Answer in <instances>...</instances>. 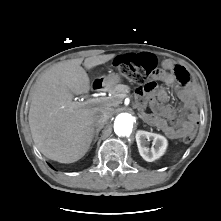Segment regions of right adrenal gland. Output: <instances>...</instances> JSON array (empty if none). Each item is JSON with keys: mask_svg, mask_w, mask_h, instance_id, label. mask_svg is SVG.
<instances>
[{"mask_svg": "<svg viewBox=\"0 0 221 221\" xmlns=\"http://www.w3.org/2000/svg\"><path fill=\"white\" fill-rule=\"evenodd\" d=\"M102 127H97L94 131V135H93V144L96 143V141L98 140V136H99V132L101 131Z\"/></svg>", "mask_w": 221, "mask_h": 221, "instance_id": "2a0ac1e0", "label": "right adrenal gland"}]
</instances>
